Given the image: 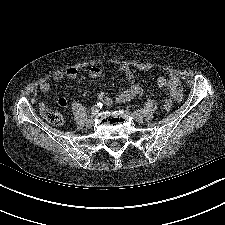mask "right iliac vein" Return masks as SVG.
I'll use <instances>...</instances> for the list:
<instances>
[{
	"label": "right iliac vein",
	"mask_w": 225,
	"mask_h": 225,
	"mask_svg": "<svg viewBox=\"0 0 225 225\" xmlns=\"http://www.w3.org/2000/svg\"><path fill=\"white\" fill-rule=\"evenodd\" d=\"M93 124H94V119H93V117H90V118L86 121L85 126H86L87 128H90V127L93 126Z\"/></svg>",
	"instance_id": "obj_1"
}]
</instances>
